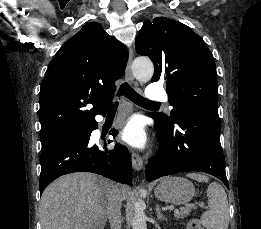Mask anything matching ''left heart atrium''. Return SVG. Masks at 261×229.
I'll use <instances>...</instances> for the list:
<instances>
[{"label": "left heart atrium", "instance_id": "obj_1", "mask_svg": "<svg viewBox=\"0 0 261 229\" xmlns=\"http://www.w3.org/2000/svg\"><path fill=\"white\" fill-rule=\"evenodd\" d=\"M119 140L132 147H144L147 135L142 121L138 118L130 119L120 131Z\"/></svg>", "mask_w": 261, "mask_h": 229}]
</instances>
